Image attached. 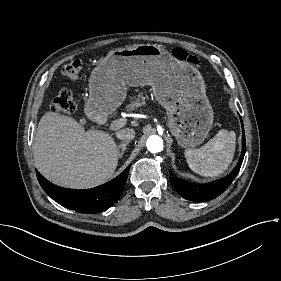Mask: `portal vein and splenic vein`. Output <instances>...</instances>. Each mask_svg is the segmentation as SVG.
Masks as SVG:
<instances>
[{
	"mask_svg": "<svg viewBox=\"0 0 281 281\" xmlns=\"http://www.w3.org/2000/svg\"><path fill=\"white\" fill-rule=\"evenodd\" d=\"M121 127H126L127 126V121L126 119L123 120L122 118H119L115 120L112 124H108L106 127V132L107 133H112L113 130H119Z\"/></svg>",
	"mask_w": 281,
	"mask_h": 281,
	"instance_id": "1",
	"label": "portal vein and splenic vein"
}]
</instances>
